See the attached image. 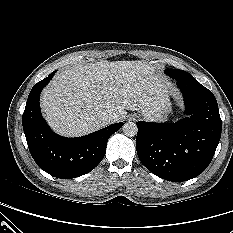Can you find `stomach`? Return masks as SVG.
Instances as JSON below:
<instances>
[{
    "instance_id": "0dacf381",
    "label": "stomach",
    "mask_w": 233,
    "mask_h": 233,
    "mask_svg": "<svg viewBox=\"0 0 233 233\" xmlns=\"http://www.w3.org/2000/svg\"><path fill=\"white\" fill-rule=\"evenodd\" d=\"M171 113V103L169 98H167L161 105V109L159 111V120H167L168 115Z\"/></svg>"
}]
</instances>
